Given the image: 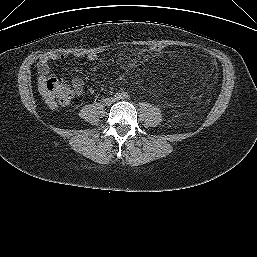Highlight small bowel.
<instances>
[{
  "label": "small bowel",
  "mask_w": 257,
  "mask_h": 257,
  "mask_svg": "<svg viewBox=\"0 0 257 257\" xmlns=\"http://www.w3.org/2000/svg\"><path fill=\"white\" fill-rule=\"evenodd\" d=\"M66 56L64 54H58V53H46L42 55L38 61L37 64V71L39 73V81L44 82L47 77L51 73V66L50 63L53 61L63 60ZM90 60H95L97 57L95 54H90L88 56ZM71 88L72 90L79 95L80 97L83 96V90H84V83L83 80L80 77H73L70 80H64Z\"/></svg>",
  "instance_id": "1"
}]
</instances>
